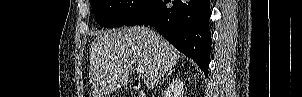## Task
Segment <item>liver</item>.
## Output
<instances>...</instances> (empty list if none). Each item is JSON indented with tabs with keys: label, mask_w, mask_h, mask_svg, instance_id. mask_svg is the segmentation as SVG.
Here are the masks:
<instances>
[{
	"label": "liver",
	"mask_w": 302,
	"mask_h": 97,
	"mask_svg": "<svg viewBox=\"0 0 302 97\" xmlns=\"http://www.w3.org/2000/svg\"><path fill=\"white\" fill-rule=\"evenodd\" d=\"M179 58V51L148 27L102 31L90 49L89 77L93 97H107L125 85L134 64L143 65L144 83L152 89Z\"/></svg>",
	"instance_id": "6515ba94"
}]
</instances>
